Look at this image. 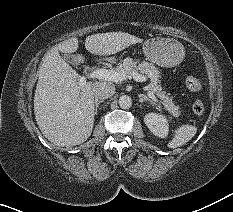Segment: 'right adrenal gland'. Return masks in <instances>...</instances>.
I'll list each match as a JSON object with an SVG mask.
<instances>
[{
  "label": "right adrenal gland",
  "mask_w": 233,
  "mask_h": 212,
  "mask_svg": "<svg viewBox=\"0 0 233 212\" xmlns=\"http://www.w3.org/2000/svg\"><path fill=\"white\" fill-rule=\"evenodd\" d=\"M103 102H104L103 99H100V100L96 99V100H95V114H97L99 104H100V103H103Z\"/></svg>",
  "instance_id": "2a0ac1e0"
}]
</instances>
